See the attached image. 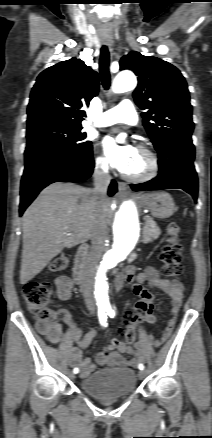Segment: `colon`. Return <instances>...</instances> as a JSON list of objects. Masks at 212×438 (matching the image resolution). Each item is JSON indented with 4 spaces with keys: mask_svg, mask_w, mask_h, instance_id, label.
I'll list each match as a JSON object with an SVG mask.
<instances>
[{
    "mask_svg": "<svg viewBox=\"0 0 212 438\" xmlns=\"http://www.w3.org/2000/svg\"><path fill=\"white\" fill-rule=\"evenodd\" d=\"M180 227L176 223L168 224L166 228L165 245L163 246L160 259L163 262L162 275L174 278L183 271L182 245L179 241ZM68 265V257L59 254L52 259L49 268L52 272H61ZM52 298V288L44 282H29L23 289V299L27 309L36 315L41 323H48L53 318V313L48 305ZM154 305L151 295L145 294L135 302L133 309L125 313V340L132 344L136 337L137 327L146 322L153 313Z\"/></svg>",
    "mask_w": 212,
    "mask_h": 438,
    "instance_id": "obj_1",
    "label": "colon"
}]
</instances>
